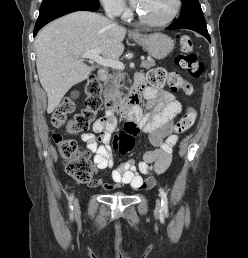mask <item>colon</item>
Listing matches in <instances>:
<instances>
[{"mask_svg": "<svg viewBox=\"0 0 248 258\" xmlns=\"http://www.w3.org/2000/svg\"><path fill=\"white\" fill-rule=\"evenodd\" d=\"M179 43L182 51L175 57L176 65L186 70L192 78H199L203 73V66L196 55L191 52L193 48L192 39L187 35H182L179 37ZM147 79L152 86L162 87L167 84L173 90L181 89L186 95L193 93V87L190 83L183 81L177 74L169 73L163 68L150 70ZM85 93L84 109L69 121H67V115L74 110V101L66 98L57 106L51 116V123L54 127L60 128L65 125L69 134H76L88 129L102 104V85L98 78L92 76L88 79ZM195 119L196 111L189 107L176 122L174 133L181 134L188 131L193 126ZM53 140L60 155L68 161L66 165L67 173L80 183L92 182L93 167L89 159L81 153L78 143L60 133H55ZM113 145L115 149L123 152V155H132L135 148L133 138L124 129L114 138Z\"/></svg>", "mask_w": 248, "mask_h": 258, "instance_id": "colon-1", "label": "colon"}]
</instances>
